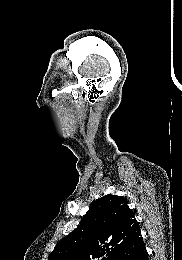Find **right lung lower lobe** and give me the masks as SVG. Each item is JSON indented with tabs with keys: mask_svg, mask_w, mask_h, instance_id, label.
Here are the masks:
<instances>
[{
	"mask_svg": "<svg viewBox=\"0 0 182 260\" xmlns=\"http://www.w3.org/2000/svg\"><path fill=\"white\" fill-rule=\"evenodd\" d=\"M118 260H149L144 242L141 241L139 244L125 252Z\"/></svg>",
	"mask_w": 182,
	"mask_h": 260,
	"instance_id": "1",
	"label": "right lung lower lobe"
}]
</instances>
